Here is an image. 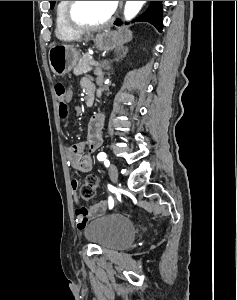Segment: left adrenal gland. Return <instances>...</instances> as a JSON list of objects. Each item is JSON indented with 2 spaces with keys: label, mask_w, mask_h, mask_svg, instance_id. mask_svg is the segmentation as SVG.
Returning <instances> with one entry per match:
<instances>
[{
  "label": "left adrenal gland",
  "mask_w": 237,
  "mask_h": 300,
  "mask_svg": "<svg viewBox=\"0 0 237 300\" xmlns=\"http://www.w3.org/2000/svg\"><path fill=\"white\" fill-rule=\"evenodd\" d=\"M127 51V47H121V49H119L118 51L119 57H117V59H113V61H123L124 57H126L127 55ZM120 53H122V55H120ZM110 63H112V61H103L102 69H105V71H109V69H111Z\"/></svg>",
  "instance_id": "left-adrenal-gland-1"
}]
</instances>
